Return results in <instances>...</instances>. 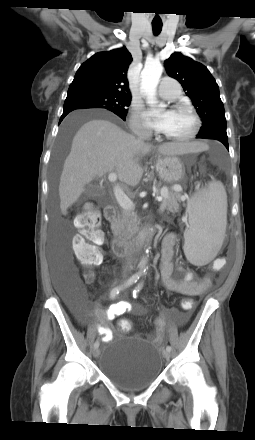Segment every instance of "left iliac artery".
Returning <instances> with one entry per match:
<instances>
[{"instance_id":"obj_1","label":"left iliac artery","mask_w":255,"mask_h":440,"mask_svg":"<svg viewBox=\"0 0 255 440\" xmlns=\"http://www.w3.org/2000/svg\"><path fill=\"white\" fill-rule=\"evenodd\" d=\"M143 284L140 283L137 285V287H135V289L133 290V297L136 298L139 291L142 289ZM166 350L171 351V346H167Z\"/></svg>"}]
</instances>
